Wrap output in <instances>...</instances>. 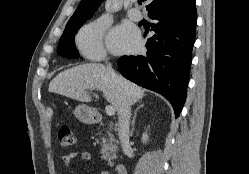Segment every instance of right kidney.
I'll return each instance as SVG.
<instances>
[{"label": "right kidney", "mask_w": 249, "mask_h": 174, "mask_svg": "<svg viewBox=\"0 0 249 174\" xmlns=\"http://www.w3.org/2000/svg\"><path fill=\"white\" fill-rule=\"evenodd\" d=\"M147 141H148V135H147V132H145V133L143 134V136H142V142H143L144 144H146Z\"/></svg>", "instance_id": "right-kidney-1"}]
</instances>
